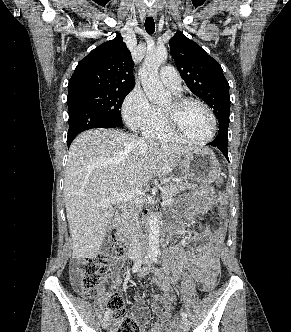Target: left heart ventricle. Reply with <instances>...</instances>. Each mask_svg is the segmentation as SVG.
Listing matches in <instances>:
<instances>
[{
  "mask_svg": "<svg viewBox=\"0 0 291 332\" xmlns=\"http://www.w3.org/2000/svg\"><path fill=\"white\" fill-rule=\"evenodd\" d=\"M173 100L163 110L173 109ZM178 122L182 131L194 139H204L211 133L212 124L208 113L199 105L190 103L178 111Z\"/></svg>",
  "mask_w": 291,
  "mask_h": 332,
  "instance_id": "obj_1",
  "label": "left heart ventricle"
}]
</instances>
